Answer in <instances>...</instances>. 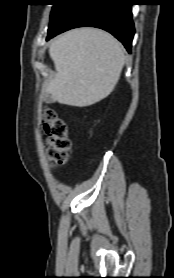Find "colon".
I'll return each instance as SVG.
<instances>
[{"label": "colon", "mask_w": 174, "mask_h": 278, "mask_svg": "<svg viewBox=\"0 0 174 278\" xmlns=\"http://www.w3.org/2000/svg\"><path fill=\"white\" fill-rule=\"evenodd\" d=\"M41 120L47 135V155L53 163L62 165L67 160L71 145L67 136V125L51 108L42 111Z\"/></svg>", "instance_id": "obj_1"}]
</instances>
